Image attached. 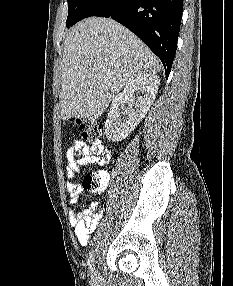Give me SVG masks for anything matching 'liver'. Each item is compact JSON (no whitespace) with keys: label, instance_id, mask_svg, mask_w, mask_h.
<instances>
[{"label":"liver","instance_id":"obj_1","mask_svg":"<svg viewBox=\"0 0 233 286\" xmlns=\"http://www.w3.org/2000/svg\"><path fill=\"white\" fill-rule=\"evenodd\" d=\"M61 68V117L67 121L97 119L123 87L138 76L158 73L161 65L127 28L90 17L66 33Z\"/></svg>","mask_w":233,"mask_h":286}]
</instances>
